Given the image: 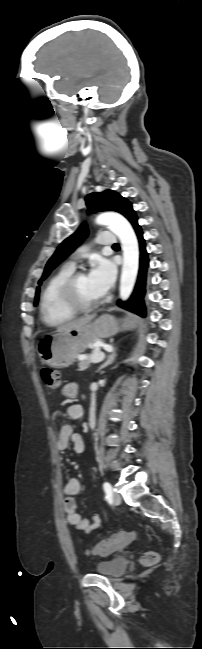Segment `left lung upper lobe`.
<instances>
[{"mask_svg":"<svg viewBox=\"0 0 202 649\" xmlns=\"http://www.w3.org/2000/svg\"><path fill=\"white\" fill-rule=\"evenodd\" d=\"M88 207V213L98 211H116L124 215L128 220L136 215L132 209L131 203L120 194L112 190H105L97 193L93 192L88 194L85 198ZM88 235L86 224H82L77 231L70 237L65 239L57 248L53 256L48 260L44 273L38 284L41 285L42 281L49 275V273L61 263L74 249L78 246ZM40 288L37 287L34 305L36 306L39 301Z\"/></svg>","mask_w":202,"mask_h":649,"instance_id":"5c2ea615","label":"left lung upper lobe"}]
</instances>
